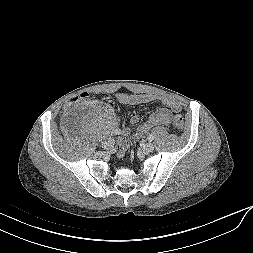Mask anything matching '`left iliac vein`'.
Wrapping results in <instances>:
<instances>
[{
	"label": "left iliac vein",
	"instance_id": "4c4485c4",
	"mask_svg": "<svg viewBox=\"0 0 253 253\" xmlns=\"http://www.w3.org/2000/svg\"><path fill=\"white\" fill-rule=\"evenodd\" d=\"M142 150L144 153H150L154 150V145L152 143H146L143 145Z\"/></svg>",
	"mask_w": 253,
	"mask_h": 253
}]
</instances>
